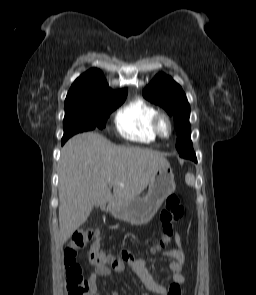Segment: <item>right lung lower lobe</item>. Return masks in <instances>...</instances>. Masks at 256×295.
<instances>
[{
  "label": "right lung lower lobe",
  "mask_w": 256,
  "mask_h": 295,
  "mask_svg": "<svg viewBox=\"0 0 256 295\" xmlns=\"http://www.w3.org/2000/svg\"><path fill=\"white\" fill-rule=\"evenodd\" d=\"M65 143V141L64 140H62V144H64Z\"/></svg>",
  "instance_id": "right-lung-lower-lobe-1"
}]
</instances>
